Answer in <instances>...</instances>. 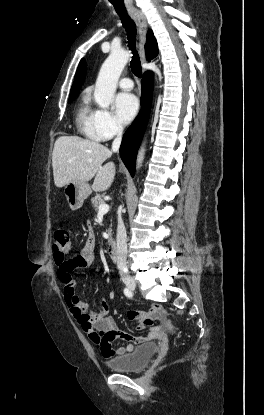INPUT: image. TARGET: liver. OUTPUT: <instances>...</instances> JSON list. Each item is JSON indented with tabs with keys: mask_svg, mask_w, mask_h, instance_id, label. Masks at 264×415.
Returning <instances> with one entry per match:
<instances>
[{
	"mask_svg": "<svg viewBox=\"0 0 264 415\" xmlns=\"http://www.w3.org/2000/svg\"><path fill=\"white\" fill-rule=\"evenodd\" d=\"M112 151L106 146L77 136L59 137L52 154L53 176L56 187L69 182L86 183L94 178L95 192L107 190L115 176V165L103 162L110 158Z\"/></svg>",
	"mask_w": 264,
	"mask_h": 415,
	"instance_id": "obj_1",
	"label": "liver"
}]
</instances>
